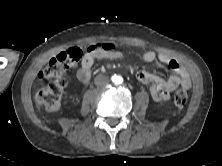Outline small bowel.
<instances>
[{
    "label": "small bowel",
    "mask_w": 222,
    "mask_h": 166,
    "mask_svg": "<svg viewBox=\"0 0 222 166\" xmlns=\"http://www.w3.org/2000/svg\"><path fill=\"white\" fill-rule=\"evenodd\" d=\"M123 57V53L116 49H98L93 53H86L83 56L80 67L76 71L77 79L82 83H88L92 76V67L95 60L111 59L116 60ZM142 59L145 62H153L158 59L161 63L167 65L174 74L164 79L158 75L152 74L146 70L137 72V79L144 83L150 84V93L155 101H166L170 97V93L179 85L185 89L191 87V78L187 70L180 65L176 60L172 59L165 53L156 54L153 51H146L142 54Z\"/></svg>",
    "instance_id": "1"
}]
</instances>
